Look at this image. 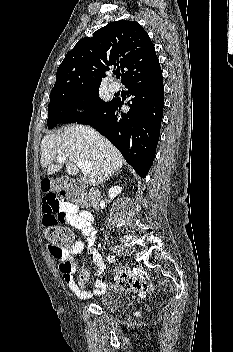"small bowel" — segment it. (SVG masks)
<instances>
[{"label": "small bowel", "instance_id": "small-bowel-1", "mask_svg": "<svg viewBox=\"0 0 233 352\" xmlns=\"http://www.w3.org/2000/svg\"><path fill=\"white\" fill-rule=\"evenodd\" d=\"M62 184L55 180H45L41 185L43 213V224L46 222H57L68 224L78 229L85 237L78 240L67 249H59L48 245L49 253L59 261V270L71 292L81 300L90 299L94 295H101L105 292L107 284L103 280H95L93 291L82 290L78 287L74 274L76 264L73 255L86 249L89 257L96 265L95 275L98 276L105 270L104 260L94 245L96 242V230L92 224V216L88 211L79 210V207L72 202L60 200L58 192Z\"/></svg>", "mask_w": 233, "mask_h": 352}]
</instances>
